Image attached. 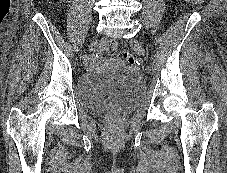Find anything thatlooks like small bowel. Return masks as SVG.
Wrapping results in <instances>:
<instances>
[{
	"label": "small bowel",
	"instance_id": "1",
	"mask_svg": "<svg viewBox=\"0 0 227 173\" xmlns=\"http://www.w3.org/2000/svg\"><path fill=\"white\" fill-rule=\"evenodd\" d=\"M103 49H104V44H101V46L99 47L98 51L95 54V57H94L95 61L99 60V58L101 57Z\"/></svg>",
	"mask_w": 227,
	"mask_h": 173
}]
</instances>
